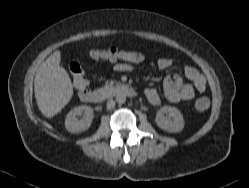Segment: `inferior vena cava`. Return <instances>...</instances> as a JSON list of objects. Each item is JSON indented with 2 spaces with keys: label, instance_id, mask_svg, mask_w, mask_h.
Instances as JSON below:
<instances>
[{
  "label": "inferior vena cava",
  "instance_id": "1",
  "mask_svg": "<svg viewBox=\"0 0 249 188\" xmlns=\"http://www.w3.org/2000/svg\"><path fill=\"white\" fill-rule=\"evenodd\" d=\"M106 106H107L108 110L114 109V107H115V101L113 99L108 100Z\"/></svg>",
  "mask_w": 249,
  "mask_h": 188
}]
</instances>
